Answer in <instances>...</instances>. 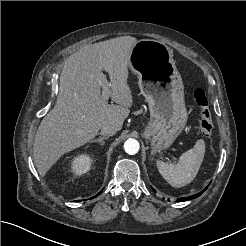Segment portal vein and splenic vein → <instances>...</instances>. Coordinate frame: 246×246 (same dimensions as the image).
<instances>
[{
	"instance_id": "18ae733b",
	"label": "portal vein and splenic vein",
	"mask_w": 246,
	"mask_h": 246,
	"mask_svg": "<svg viewBox=\"0 0 246 246\" xmlns=\"http://www.w3.org/2000/svg\"><path fill=\"white\" fill-rule=\"evenodd\" d=\"M110 87H111V84L107 81V80H105L104 82H103V84H102V99L104 100V101H107L108 100V98H109V95H110Z\"/></svg>"
}]
</instances>
